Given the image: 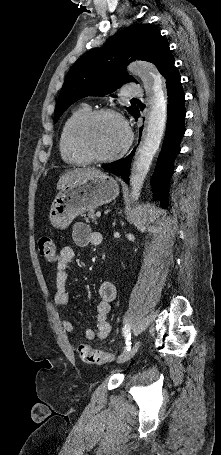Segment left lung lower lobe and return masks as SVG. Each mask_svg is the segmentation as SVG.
Returning a JSON list of instances; mask_svg holds the SVG:
<instances>
[{
    "label": "left lung lower lobe",
    "mask_w": 221,
    "mask_h": 455,
    "mask_svg": "<svg viewBox=\"0 0 221 455\" xmlns=\"http://www.w3.org/2000/svg\"><path fill=\"white\" fill-rule=\"evenodd\" d=\"M163 76L166 80L168 104L166 133L158 157L155 171L151 177L152 192L155 199L160 200L163 208L168 207V194L170 178L174 170V160L180 152V140L185 133V94L180 82V74L173 65ZM140 115L138 110L133 117L137 120ZM141 135V129H140ZM134 151L126 158L103 165L111 173L123 177L128 182V174Z\"/></svg>",
    "instance_id": "left-lung-lower-lobe-1"
}]
</instances>
